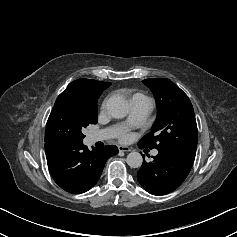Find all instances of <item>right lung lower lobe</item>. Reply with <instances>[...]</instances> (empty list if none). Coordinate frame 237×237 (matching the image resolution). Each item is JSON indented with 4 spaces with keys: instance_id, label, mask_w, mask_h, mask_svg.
I'll list each match as a JSON object with an SVG mask.
<instances>
[{
    "instance_id": "98d812e1",
    "label": "right lung lower lobe",
    "mask_w": 237,
    "mask_h": 237,
    "mask_svg": "<svg viewBox=\"0 0 237 237\" xmlns=\"http://www.w3.org/2000/svg\"><path fill=\"white\" fill-rule=\"evenodd\" d=\"M49 171L65 191L80 194L91 189L99 180L105 162L118 153L114 145L89 151L83 143L45 141Z\"/></svg>"
}]
</instances>
